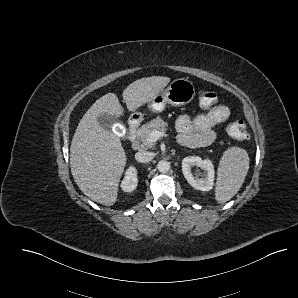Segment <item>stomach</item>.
Returning a JSON list of instances; mask_svg holds the SVG:
<instances>
[{"label": "stomach", "instance_id": "stomach-1", "mask_svg": "<svg viewBox=\"0 0 298 298\" xmlns=\"http://www.w3.org/2000/svg\"><path fill=\"white\" fill-rule=\"evenodd\" d=\"M195 95V88L192 82L184 78L172 80L169 85L157 93L146 104V110L150 113L160 114L168 105L181 106L189 103ZM140 115L139 113H135Z\"/></svg>", "mask_w": 298, "mask_h": 298}]
</instances>
